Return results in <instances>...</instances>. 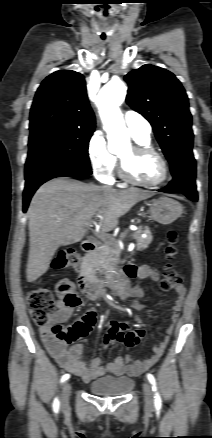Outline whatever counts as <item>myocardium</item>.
<instances>
[{
	"label": "myocardium",
	"instance_id": "obj_1",
	"mask_svg": "<svg viewBox=\"0 0 212 438\" xmlns=\"http://www.w3.org/2000/svg\"><path fill=\"white\" fill-rule=\"evenodd\" d=\"M131 148H132V151L135 155L151 154V155L156 156L161 163L163 174H162V177L155 182L139 181L131 176V174L128 171L126 161L124 159H122L121 157H119V160H120L119 161V174H120V177L124 181H126L132 185H136V186H140V187H155V186H159L167 181V179L169 177V165H168V162L165 159V157L159 151H157L156 149H154L148 145H141V144H135Z\"/></svg>",
	"mask_w": 212,
	"mask_h": 438
}]
</instances>
